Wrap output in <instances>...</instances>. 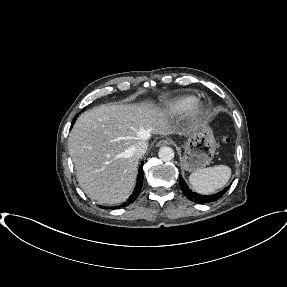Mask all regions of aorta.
<instances>
[{"label":"aorta","instance_id":"obj_1","mask_svg":"<svg viewBox=\"0 0 287 287\" xmlns=\"http://www.w3.org/2000/svg\"><path fill=\"white\" fill-rule=\"evenodd\" d=\"M158 157L164 162H168L174 159V150L171 147L164 146L159 149Z\"/></svg>","mask_w":287,"mask_h":287}]
</instances>
